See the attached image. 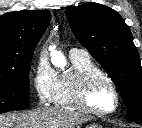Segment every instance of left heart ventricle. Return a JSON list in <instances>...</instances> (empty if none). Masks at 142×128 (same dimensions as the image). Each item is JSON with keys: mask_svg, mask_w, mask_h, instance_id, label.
Here are the masks:
<instances>
[{"mask_svg": "<svg viewBox=\"0 0 142 128\" xmlns=\"http://www.w3.org/2000/svg\"><path fill=\"white\" fill-rule=\"evenodd\" d=\"M91 102L94 107L100 110H109L114 105L113 93L106 82H100L95 87Z\"/></svg>", "mask_w": 142, "mask_h": 128, "instance_id": "1", "label": "left heart ventricle"}]
</instances>
